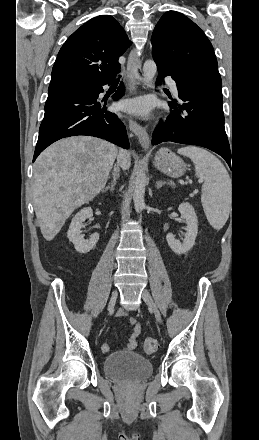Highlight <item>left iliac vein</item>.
<instances>
[{"label": "left iliac vein", "mask_w": 259, "mask_h": 440, "mask_svg": "<svg viewBox=\"0 0 259 440\" xmlns=\"http://www.w3.org/2000/svg\"><path fill=\"white\" fill-rule=\"evenodd\" d=\"M142 299L147 304L150 311L154 313L157 322H161V314L148 290L144 289L141 293Z\"/></svg>", "instance_id": "obj_1"}]
</instances>
